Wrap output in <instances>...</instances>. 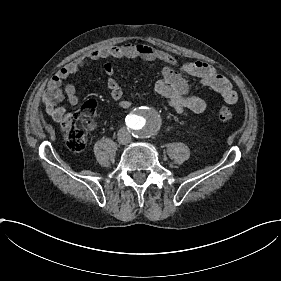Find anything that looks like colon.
Here are the masks:
<instances>
[{
	"label": "colon",
	"instance_id": "1",
	"mask_svg": "<svg viewBox=\"0 0 281 281\" xmlns=\"http://www.w3.org/2000/svg\"><path fill=\"white\" fill-rule=\"evenodd\" d=\"M234 114L232 110L226 105H220L217 109V118L224 123L231 122ZM64 131L68 138L70 148L75 152H80L85 146V130L84 126L71 116L64 122Z\"/></svg>",
	"mask_w": 281,
	"mask_h": 281
}]
</instances>
